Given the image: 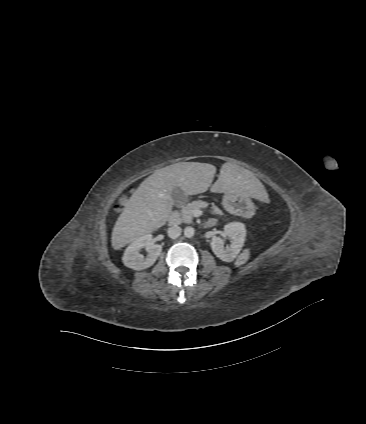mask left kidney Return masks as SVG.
<instances>
[{"label":"left kidney","instance_id":"5707ae66","mask_svg":"<svg viewBox=\"0 0 366 424\" xmlns=\"http://www.w3.org/2000/svg\"><path fill=\"white\" fill-rule=\"evenodd\" d=\"M246 236V229L242 223H230L224 227L223 236H214L211 239L213 253L222 261L232 262L240 253ZM229 238L232 243L228 247H223L224 239Z\"/></svg>","mask_w":366,"mask_h":424}]
</instances>
